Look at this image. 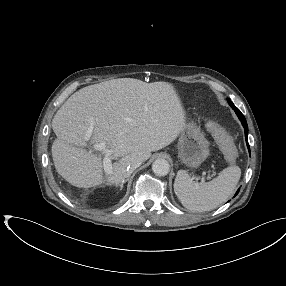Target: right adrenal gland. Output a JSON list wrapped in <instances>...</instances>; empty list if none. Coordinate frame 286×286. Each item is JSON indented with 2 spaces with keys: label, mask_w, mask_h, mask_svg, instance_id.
<instances>
[{
  "label": "right adrenal gland",
  "mask_w": 286,
  "mask_h": 286,
  "mask_svg": "<svg viewBox=\"0 0 286 286\" xmlns=\"http://www.w3.org/2000/svg\"><path fill=\"white\" fill-rule=\"evenodd\" d=\"M123 184H124V182H122V183L120 184V190H122Z\"/></svg>",
  "instance_id": "right-adrenal-gland-1"
}]
</instances>
